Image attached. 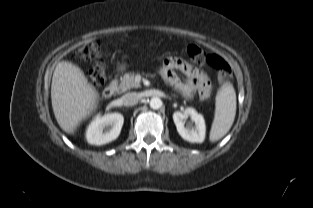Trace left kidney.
I'll use <instances>...</instances> for the list:
<instances>
[{"label": "left kidney", "instance_id": "obj_1", "mask_svg": "<svg viewBox=\"0 0 313 208\" xmlns=\"http://www.w3.org/2000/svg\"><path fill=\"white\" fill-rule=\"evenodd\" d=\"M188 117L194 122V126L190 124L185 126ZM173 120L179 135L184 140L196 143H202L204 141L206 133L205 121L203 116L198 114L194 108L189 107L183 112H174Z\"/></svg>", "mask_w": 313, "mask_h": 208}]
</instances>
